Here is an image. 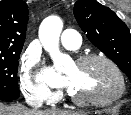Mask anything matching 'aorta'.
<instances>
[{
    "label": "aorta",
    "mask_w": 131,
    "mask_h": 115,
    "mask_svg": "<svg viewBox=\"0 0 131 115\" xmlns=\"http://www.w3.org/2000/svg\"><path fill=\"white\" fill-rule=\"evenodd\" d=\"M63 23L57 16L44 19L39 28V38L44 49L50 54L55 69L63 71L66 56L59 50V37Z\"/></svg>",
    "instance_id": "762f6f07"
}]
</instances>
